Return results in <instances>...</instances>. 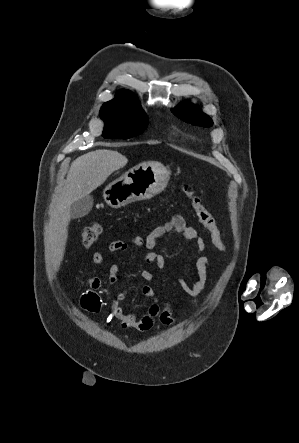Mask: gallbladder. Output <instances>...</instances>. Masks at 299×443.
<instances>
[{"mask_svg":"<svg viewBox=\"0 0 299 443\" xmlns=\"http://www.w3.org/2000/svg\"><path fill=\"white\" fill-rule=\"evenodd\" d=\"M93 207V197L87 195L74 201L70 206V216L73 219L86 216Z\"/></svg>","mask_w":299,"mask_h":443,"instance_id":"bac80fb5","label":"gallbladder"}]
</instances>
